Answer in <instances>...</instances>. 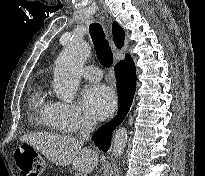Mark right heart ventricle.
<instances>
[{
    "instance_id": "obj_1",
    "label": "right heart ventricle",
    "mask_w": 205,
    "mask_h": 176,
    "mask_svg": "<svg viewBox=\"0 0 205 176\" xmlns=\"http://www.w3.org/2000/svg\"><path fill=\"white\" fill-rule=\"evenodd\" d=\"M55 102L47 96V92L41 86H38L31 98V106L33 118L47 126L53 132H58L61 129L55 113Z\"/></svg>"
}]
</instances>
